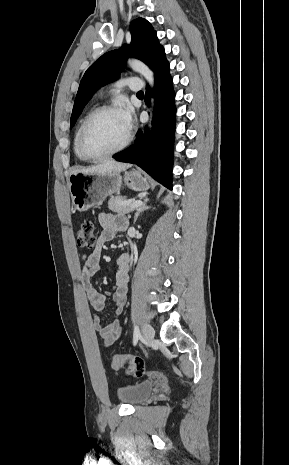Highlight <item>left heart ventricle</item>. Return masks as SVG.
Returning <instances> with one entry per match:
<instances>
[{
    "label": "left heart ventricle",
    "mask_w": 289,
    "mask_h": 465,
    "mask_svg": "<svg viewBox=\"0 0 289 465\" xmlns=\"http://www.w3.org/2000/svg\"><path fill=\"white\" fill-rule=\"evenodd\" d=\"M128 133L119 111L103 113L91 126L88 149L92 153L114 149L125 141Z\"/></svg>",
    "instance_id": "1"
}]
</instances>
